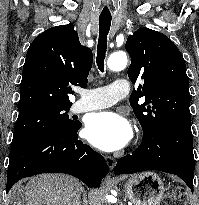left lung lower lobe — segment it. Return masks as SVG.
I'll return each mask as SVG.
<instances>
[{"instance_id":"left-lung-lower-lobe-1","label":"left lung lower lobe","mask_w":199,"mask_h":205,"mask_svg":"<svg viewBox=\"0 0 199 205\" xmlns=\"http://www.w3.org/2000/svg\"><path fill=\"white\" fill-rule=\"evenodd\" d=\"M194 167L191 125L171 124L157 134L143 135L139 148L120 158L114 173L159 170L179 176L193 192Z\"/></svg>"}]
</instances>
